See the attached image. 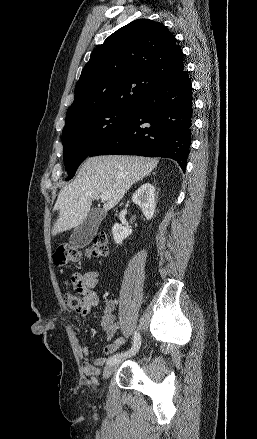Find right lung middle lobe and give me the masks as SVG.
Masks as SVG:
<instances>
[{
  "label": "right lung middle lobe",
  "instance_id": "dd1d6c3e",
  "mask_svg": "<svg viewBox=\"0 0 257 439\" xmlns=\"http://www.w3.org/2000/svg\"><path fill=\"white\" fill-rule=\"evenodd\" d=\"M134 111V108L108 107L86 111L66 120L62 132L66 181L73 178L78 166L94 148L128 121Z\"/></svg>",
  "mask_w": 257,
  "mask_h": 439
}]
</instances>
